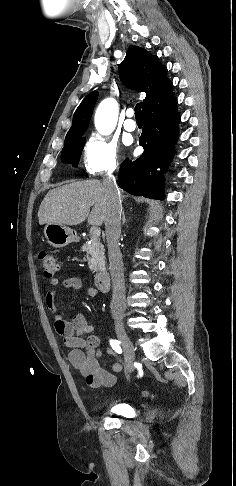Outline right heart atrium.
I'll list each match as a JSON object with an SVG mask.
<instances>
[{"mask_svg":"<svg viewBox=\"0 0 236 486\" xmlns=\"http://www.w3.org/2000/svg\"><path fill=\"white\" fill-rule=\"evenodd\" d=\"M117 143L103 135L93 134L83 147V164L90 175L109 173L119 166Z\"/></svg>","mask_w":236,"mask_h":486,"instance_id":"1","label":"right heart atrium"}]
</instances>
